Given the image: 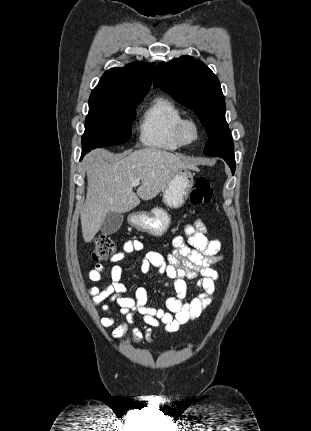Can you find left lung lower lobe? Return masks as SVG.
<instances>
[{"instance_id":"left-lung-lower-lobe-1","label":"left lung lower lobe","mask_w":311,"mask_h":431,"mask_svg":"<svg viewBox=\"0 0 311 431\" xmlns=\"http://www.w3.org/2000/svg\"><path fill=\"white\" fill-rule=\"evenodd\" d=\"M220 157L225 160V162L229 165L232 174H234L236 167L234 154L221 155Z\"/></svg>"}]
</instances>
